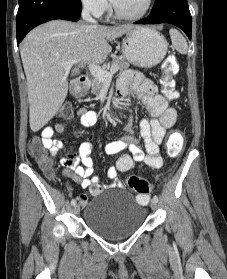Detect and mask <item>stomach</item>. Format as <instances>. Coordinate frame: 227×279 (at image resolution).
Segmentation results:
<instances>
[{
    "label": "stomach",
    "mask_w": 227,
    "mask_h": 279,
    "mask_svg": "<svg viewBox=\"0 0 227 279\" xmlns=\"http://www.w3.org/2000/svg\"><path fill=\"white\" fill-rule=\"evenodd\" d=\"M168 43L164 36L150 27H136L122 40V54L132 64L151 68L165 57Z\"/></svg>",
    "instance_id": "0dacf381"
}]
</instances>
